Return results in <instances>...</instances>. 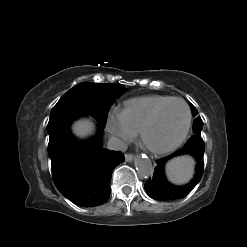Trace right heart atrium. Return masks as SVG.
Returning <instances> with one entry per match:
<instances>
[{
  "mask_svg": "<svg viewBox=\"0 0 247 247\" xmlns=\"http://www.w3.org/2000/svg\"><path fill=\"white\" fill-rule=\"evenodd\" d=\"M107 128L112 137L118 142L125 143L136 135V132L127 123L123 112L114 109L107 119Z\"/></svg>",
  "mask_w": 247,
  "mask_h": 247,
  "instance_id": "right-heart-atrium-1",
  "label": "right heart atrium"
}]
</instances>
